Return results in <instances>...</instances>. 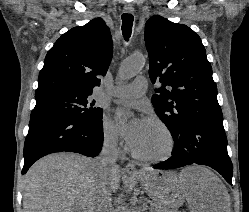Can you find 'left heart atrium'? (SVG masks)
<instances>
[{"instance_id":"39dd6f15","label":"left heart atrium","mask_w":249,"mask_h":212,"mask_svg":"<svg viewBox=\"0 0 249 212\" xmlns=\"http://www.w3.org/2000/svg\"><path fill=\"white\" fill-rule=\"evenodd\" d=\"M115 128L125 141L129 150L135 152L138 148L145 120L140 117H130L128 111L117 109L114 114Z\"/></svg>"}]
</instances>
